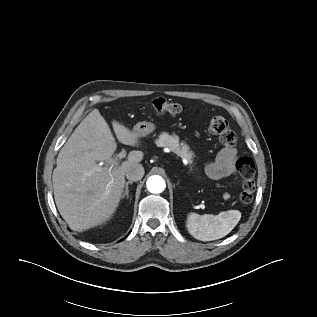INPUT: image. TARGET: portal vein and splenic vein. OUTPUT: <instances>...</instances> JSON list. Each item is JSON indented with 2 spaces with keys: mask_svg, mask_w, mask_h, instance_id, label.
<instances>
[{
  "mask_svg": "<svg viewBox=\"0 0 317 317\" xmlns=\"http://www.w3.org/2000/svg\"><path fill=\"white\" fill-rule=\"evenodd\" d=\"M125 156H126V151H125L124 149H122V151L117 155V159H118V160H119V159H122V158H124ZM97 170L100 171L101 169L98 168Z\"/></svg>",
  "mask_w": 317,
  "mask_h": 317,
  "instance_id": "obj_1",
  "label": "portal vein and splenic vein"
}]
</instances>
